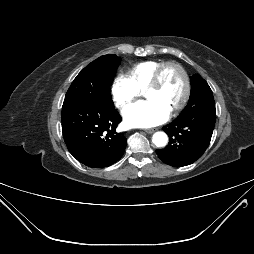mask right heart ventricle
<instances>
[{
	"instance_id": "right-heart-ventricle-1",
	"label": "right heart ventricle",
	"mask_w": 254,
	"mask_h": 254,
	"mask_svg": "<svg viewBox=\"0 0 254 254\" xmlns=\"http://www.w3.org/2000/svg\"><path fill=\"white\" fill-rule=\"evenodd\" d=\"M162 64L161 61L147 60L133 65L128 71V77L142 91L152 80L155 70Z\"/></svg>"
}]
</instances>
